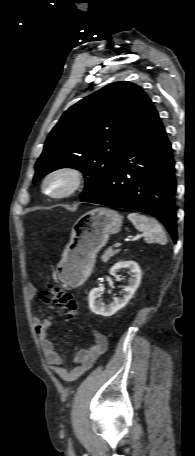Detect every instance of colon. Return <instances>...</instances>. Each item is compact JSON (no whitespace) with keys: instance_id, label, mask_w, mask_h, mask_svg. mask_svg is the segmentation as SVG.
<instances>
[{"instance_id":"obj_1","label":"colon","mask_w":195,"mask_h":456,"mask_svg":"<svg viewBox=\"0 0 195 456\" xmlns=\"http://www.w3.org/2000/svg\"><path fill=\"white\" fill-rule=\"evenodd\" d=\"M39 297L44 303L55 304L69 317L77 312L78 305L74 296L61 286H50L43 290Z\"/></svg>"}]
</instances>
